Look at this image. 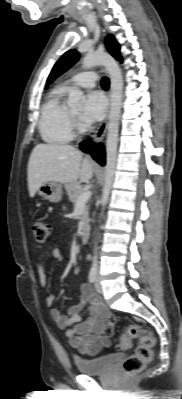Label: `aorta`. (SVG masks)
Wrapping results in <instances>:
<instances>
[{
  "instance_id": "obj_1",
  "label": "aorta",
  "mask_w": 182,
  "mask_h": 399,
  "mask_svg": "<svg viewBox=\"0 0 182 399\" xmlns=\"http://www.w3.org/2000/svg\"><path fill=\"white\" fill-rule=\"evenodd\" d=\"M96 65H103L106 68L111 80V104L106 140V171L101 198L102 212L100 217H102L105 206L109 200L115 175L119 120L123 93V77L121 69L116 60L106 52L88 53L82 60V68L84 69H89ZM84 100L85 97L83 92L79 88L74 87L69 93L68 105L71 108H80L83 105ZM96 249L97 248L95 246L94 251H96ZM95 260L96 258L94 257V263Z\"/></svg>"
}]
</instances>
